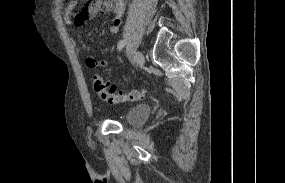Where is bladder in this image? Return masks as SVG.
<instances>
[{"label": "bladder", "mask_w": 285, "mask_h": 183, "mask_svg": "<svg viewBox=\"0 0 285 183\" xmlns=\"http://www.w3.org/2000/svg\"><path fill=\"white\" fill-rule=\"evenodd\" d=\"M151 109L147 105L139 104L126 110L124 121L130 126L142 125L150 116Z\"/></svg>", "instance_id": "bladder-1"}]
</instances>
